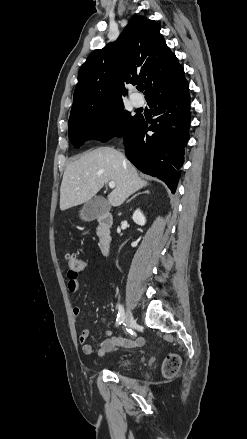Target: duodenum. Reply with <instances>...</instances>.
<instances>
[{
    "mask_svg": "<svg viewBox=\"0 0 247 439\" xmlns=\"http://www.w3.org/2000/svg\"><path fill=\"white\" fill-rule=\"evenodd\" d=\"M113 224V217L110 213H104L97 218V237L99 240L100 249L103 254H107L110 249L112 236L111 227Z\"/></svg>",
    "mask_w": 247,
    "mask_h": 439,
    "instance_id": "obj_1",
    "label": "duodenum"
}]
</instances>
